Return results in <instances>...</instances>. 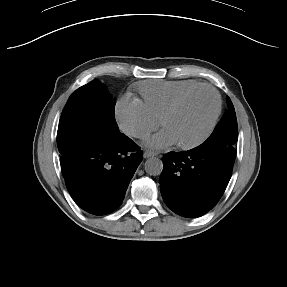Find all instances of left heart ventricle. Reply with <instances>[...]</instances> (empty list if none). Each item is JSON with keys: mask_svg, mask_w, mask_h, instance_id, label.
Instances as JSON below:
<instances>
[{"mask_svg": "<svg viewBox=\"0 0 287 287\" xmlns=\"http://www.w3.org/2000/svg\"><path fill=\"white\" fill-rule=\"evenodd\" d=\"M215 109L211 92L201 90L191 95L164 124L176 143H188L199 138L206 130Z\"/></svg>", "mask_w": 287, "mask_h": 287, "instance_id": "obj_1", "label": "left heart ventricle"}]
</instances>
